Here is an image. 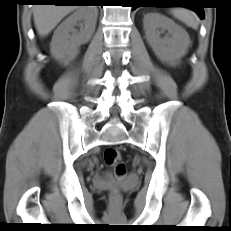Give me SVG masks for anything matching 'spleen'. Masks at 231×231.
<instances>
[{
	"label": "spleen",
	"mask_w": 231,
	"mask_h": 231,
	"mask_svg": "<svg viewBox=\"0 0 231 231\" xmlns=\"http://www.w3.org/2000/svg\"><path fill=\"white\" fill-rule=\"evenodd\" d=\"M172 15L193 29H197L199 25V18L192 11L185 8H174L171 10Z\"/></svg>",
	"instance_id": "1"
}]
</instances>
